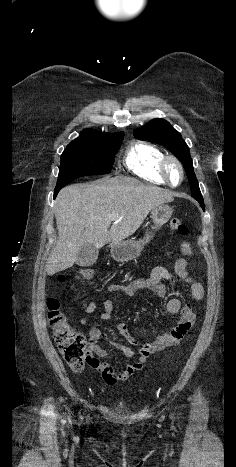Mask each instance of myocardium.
Instances as JSON below:
<instances>
[{
	"instance_id": "obj_1",
	"label": "myocardium",
	"mask_w": 236,
	"mask_h": 467,
	"mask_svg": "<svg viewBox=\"0 0 236 467\" xmlns=\"http://www.w3.org/2000/svg\"><path fill=\"white\" fill-rule=\"evenodd\" d=\"M175 164L178 169H179V172H180V180L178 183H172L170 178H169V171H168V168H169V164ZM160 173H161V176L163 177V179L166 181V183L172 187H176L178 185H180L183 180H184V175H185V172H184V167L182 165V163L180 162V160L178 158H176L175 156H172V155H168V156H164V158L162 159L161 161V164H160Z\"/></svg>"
}]
</instances>
